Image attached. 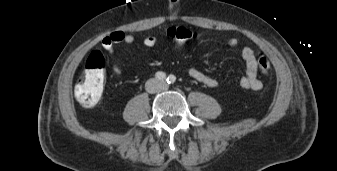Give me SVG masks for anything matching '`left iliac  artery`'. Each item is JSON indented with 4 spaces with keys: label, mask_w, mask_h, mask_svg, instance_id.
I'll return each mask as SVG.
<instances>
[{
    "label": "left iliac artery",
    "mask_w": 337,
    "mask_h": 171,
    "mask_svg": "<svg viewBox=\"0 0 337 171\" xmlns=\"http://www.w3.org/2000/svg\"><path fill=\"white\" fill-rule=\"evenodd\" d=\"M176 81V77L174 75H169L167 78V83L173 84Z\"/></svg>",
    "instance_id": "obj_1"
}]
</instances>
